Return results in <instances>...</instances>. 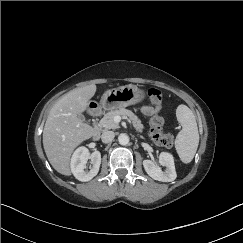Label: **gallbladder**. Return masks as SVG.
Listing matches in <instances>:
<instances>
[{"label":"gallbladder","mask_w":243,"mask_h":243,"mask_svg":"<svg viewBox=\"0 0 243 243\" xmlns=\"http://www.w3.org/2000/svg\"><path fill=\"white\" fill-rule=\"evenodd\" d=\"M79 117H80L83 121H85V118H84L83 115H79Z\"/></svg>","instance_id":"gallbladder-1"}]
</instances>
